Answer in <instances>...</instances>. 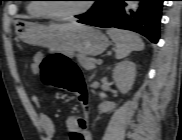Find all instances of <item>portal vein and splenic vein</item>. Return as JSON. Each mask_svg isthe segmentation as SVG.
<instances>
[{"label": "portal vein and splenic vein", "instance_id": "1", "mask_svg": "<svg viewBox=\"0 0 182 140\" xmlns=\"http://www.w3.org/2000/svg\"><path fill=\"white\" fill-rule=\"evenodd\" d=\"M96 63H97V64H101V63H102V60H101V59H98V60L96 61Z\"/></svg>", "mask_w": 182, "mask_h": 140}]
</instances>
